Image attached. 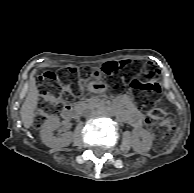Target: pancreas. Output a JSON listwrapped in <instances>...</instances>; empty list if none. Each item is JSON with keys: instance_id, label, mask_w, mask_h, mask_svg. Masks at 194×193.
I'll use <instances>...</instances> for the list:
<instances>
[{"instance_id": "cf45deb5", "label": "pancreas", "mask_w": 194, "mask_h": 193, "mask_svg": "<svg viewBox=\"0 0 194 193\" xmlns=\"http://www.w3.org/2000/svg\"><path fill=\"white\" fill-rule=\"evenodd\" d=\"M106 101L105 97H100L99 100L96 101L98 106H101Z\"/></svg>"}]
</instances>
